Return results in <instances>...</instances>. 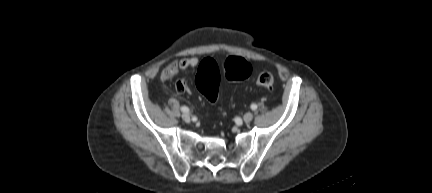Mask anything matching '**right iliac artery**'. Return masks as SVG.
Returning a JSON list of instances; mask_svg holds the SVG:
<instances>
[{
	"mask_svg": "<svg viewBox=\"0 0 432 193\" xmlns=\"http://www.w3.org/2000/svg\"><path fill=\"white\" fill-rule=\"evenodd\" d=\"M181 111H182V112H187V113H188V112H189V108L186 107V106H182V107H181Z\"/></svg>",
	"mask_w": 432,
	"mask_h": 193,
	"instance_id": "right-iliac-artery-1",
	"label": "right iliac artery"
}]
</instances>
